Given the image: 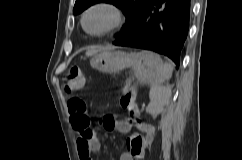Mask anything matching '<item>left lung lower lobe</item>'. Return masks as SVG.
<instances>
[{
    "mask_svg": "<svg viewBox=\"0 0 242 160\" xmlns=\"http://www.w3.org/2000/svg\"><path fill=\"white\" fill-rule=\"evenodd\" d=\"M191 0H148L131 31L113 43L151 50L179 66L189 28Z\"/></svg>",
    "mask_w": 242,
    "mask_h": 160,
    "instance_id": "1",
    "label": "left lung lower lobe"
}]
</instances>
